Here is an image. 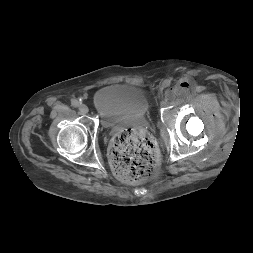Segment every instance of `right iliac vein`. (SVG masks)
<instances>
[{"mask_svg":"<svg viewBox=\"0 0 253 253\" xmlns=\"http://www.w3.org/2000/svg\"><path fill=\"white\" fill-rule=\"evenodd\" d=\"M89 111L88 107L85 104H80L79 105V112L81 114H87Z\"/></svg>","mask_w":253,"mask_h":253,"instance_id":"63e3f726","label":"right iliac vein"}]
</instances>
